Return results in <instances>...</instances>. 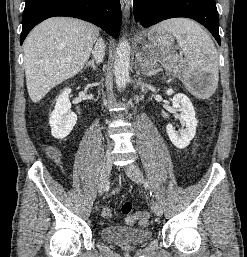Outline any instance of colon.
<instances>
[{
	"label": "colon",
	"instance_id": "1",
	"mask_svg": "<svg viewBox=\"0 0 247 257\" xmlns=\"http://www.w3.org/2000/svg\"><path fill=\"white\" fill-rule=\"evenodd\" d=\"M49 156H54L55 151L53 149H48ZM122 213L126 216V222L128 224H134L138 222L142 226H147L149 224V214L145 211H140L135 214L132 213V203L125 202L122 205ZM102 217L105 220H111L113 217L112 210L109 208H104L102 210Z\"/></svg>",
	"mask_w": 247,
	"mask_h": 257
}]
</instances>
